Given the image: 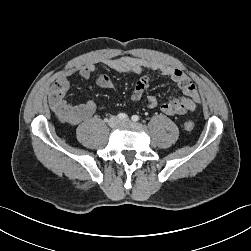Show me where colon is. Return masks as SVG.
Returning a JSON list of instances; mask_svg holds the SVG:
<instances>
[{"label": "colon", "instance_id": "5ec220e1", "mask_svg": "<svg viewBox=\"0 0 251 251\" xmlns=\"http://www.w3.org/2000/svg\"><path fill=\"white\" fill-rule=\"evenodd\" d=\"M184 128H185L187 131L193 130V128H194V123H193V121H191V120L186 121V122L184 123Z\"/></svg>", "mask_w": 251, "mask_h": 251}]
</instances>
